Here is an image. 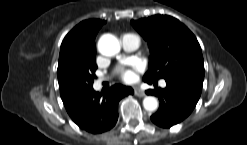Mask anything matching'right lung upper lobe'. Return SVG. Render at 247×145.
<instances>
[{
    "label": "right lung upper lobe",
    "instance_id": "1",
    "mask_svg": "<svg viewBox=\"0 0 247 145\" xmlns=\"http://www.w3.org/2000/svg\"><path fill=\"white\" fill-rule=\"evenodd\" d=\"M105 21L85 20L75 26L64 38L60 54L75 53L85 57H95V37Z\"/></svg>",
    "mask_w": 247,
    "mask_h": 145
}]
</instances>
